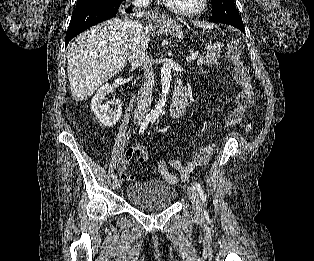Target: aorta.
Wrapping results in <instances>:
<instances>
[{
  "label": "aorta",
  "mask_w": 314,
  "mask_h": 261,
  "mask_svg": "<svg viewBox=\"0 0 314 261\" xmlns=\"http://www.w3.org/2000/svg\"><path fill=\"white\" fill-rule=\"evenodd\" d=\"M170 82H171V67L169 63H164L161 68L162 95L155 108L151 111V116L154 118L159 117L163 110V107L165 106L166 97L169 93Z\"/></svg>",
  "instance_id": "aorta-1"
}]
</instances>
